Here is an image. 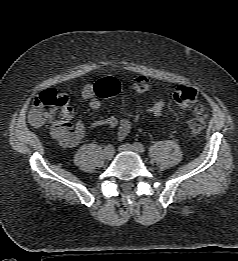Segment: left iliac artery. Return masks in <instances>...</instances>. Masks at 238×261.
<instances>
[{"label":"left iliac artery","mask_w":238,"mask_h":261,"mask_svg":"<svg viewBox=\"0 0 238 261\" xmlns=\"http://www.w3.org/2000/svg\"><path fill=\"white\" fill-rule=\"evenodd\" d=\"M136 151L143 153L145 152V147L141 143H134Z\"/></svg>","instance_id":"1"}]
</instances>
